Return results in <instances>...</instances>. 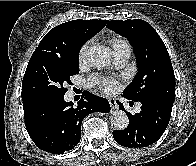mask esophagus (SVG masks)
Here are the masks:
<instances>
[{"instance_id": "1", "label": "esophagus", "mask_w": 196, "mask_h": 166, "mask_svg": "<svg viewBox=\"0 0 196 166\" xmlns=\"http://www.w3.org/2000/svg\"><path fill=\"white\" fill-rule=\"evenodd\" d=\"M108 101H109V104H110L112 111H115L118 109V105H117L116 100L114 98H109Z\"/></svg>"}]
</instances>
